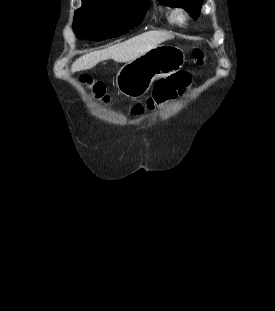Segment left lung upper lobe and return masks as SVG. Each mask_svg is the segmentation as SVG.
Segmentation results:
<instances>
[{"label":"left lung upper lobe","instance_id":"5c2ea615","mask_svg":"<svg viewBox=\"0 0 275 311\" xmlns=\"http://www.w3.org/2000/svg\"><path fill=\"white\" fill-rule=\"evenodd\" d=\"M160 3L170 7H181L185 9L193 19L200 15L203 0H158Z\"/></svg>","mask_w":275,"mask_h":311}]
</instances>
